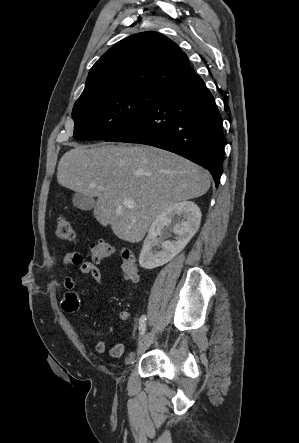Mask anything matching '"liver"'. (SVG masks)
I'll use <instances>...</instances> for the list:
<instances>
[{"label":"liver","instance_id":"6515ba94","mask_svg":"<svg viewBox=\"0 0 299 443\" xmlns=\"http://www.w3.org/2000/svg\"><path fill=\"white\" fill-rule=\"evenodd\" d=\"M57 181L97 197L96 220L131 243L141 241L166 208L200 197L210 187L208 171L177 154L150 146L111 144L76 145L67 151L59 161ZM126 199L135 205L124 206Z\"/></svg>","mask_w":299,"mask_h":443}]
</instances>
